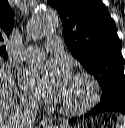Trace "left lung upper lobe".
<instances>
[{"label":"left lung upper lobe","instance_id":"1","mask_svg":"<svg viewBox=\"0 0 125 128\" xmlns=\"http://www.w3.org/2000/svg\"><path fill=\"white\" fill-rule=\"evenodd\" d=\"M61 18L72 55L102 88L100 104L125 93L124 59L116 25L100 0H48Z\"/></svg>","mask_w":125,"mask_h":128}]
</instances>
